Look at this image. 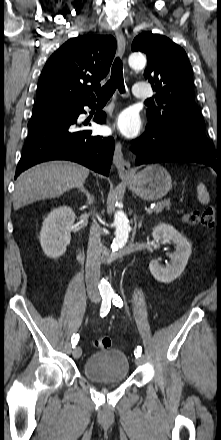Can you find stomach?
I'll return each instance as SVG.
<instances>
[{
  "label": "stomach",
  "instance_id": "stomach-1",
  "mask_svg": "<svg viewBox=\"0 0 221 440\" xmlns=\"http://www.w3.org/2000/svg\"><path fill=\"white\" fill-rule=\"evenodd\" d=\"M129 189L144 200L164 197L172 188L169 172L161 165H148L136 174L124 177Z\"/></svg>",
  "mask_w": 221,
  "mask_h": 440
}]
</instances>
